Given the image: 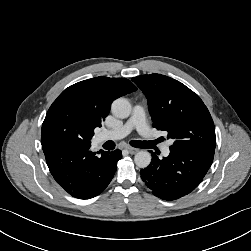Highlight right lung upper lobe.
<instances>
[{
    "label": "right lung upper lobe",
    "mask_w": 251,
    "mask_h": 251,
    "mask_svg": "<svg viewBox=\"0 0 251 251\" xmlns=\"http://www.w3.org/2000/svg\"><path fill=\"white\" fill-rule=\"evenodd\" d=\"M136 90L125 78L95 77L66 88L48 112L60 110L71 114L94 133V129L100 127L109 114L111 103Z\"/></svg>",
    "instance_id": "obj_1"
}]
</instances>
